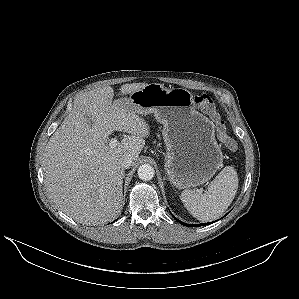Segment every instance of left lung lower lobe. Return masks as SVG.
I'll list each match as a JSON object with an SVG mask.
<instances>
[{
    "label": "left lung lower lobe",
    "instance_id": "0a47b994",
    "mask_svg": "<svg viewBox=\"0 0 299 299\" xmlns=\"http://www.w3.org/2000/svg\"><path fill=\"white\" fill-rule=\"evenodd\" d=\"M175 218V217H174ZM176 219V218H175ZM179 223H181L182 225H185V226H202V225H207V224H210V223H205V224H198V225H190V224H185L181 221H179L178 219H176Z\"/></svg>",
    "mask_w": 299,
    "mask_h": 299
}]
</instances>
